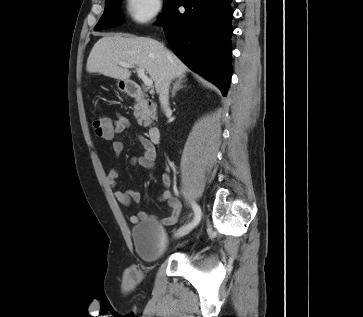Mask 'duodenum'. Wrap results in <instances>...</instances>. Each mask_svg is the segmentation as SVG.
Listing matches in <instances>:
<instances>
[{
	"instance_id": "410a0bca",
	"label": "duodenum",
	"mask_w": 363,
	"mask_h": 317,
	"mask_svg": "<svg viewBox=\"0 0 363 317\" xmlns=\"http://www.w3.org/2000/svg\"><path fill=\"white\" fill-rule=\"evenodd\" d=\"M127 92L130 97L137 99H144L146 97L145 91L136 83L128 82L127 84ZM149 138L150 140L158 144L161 140V130L157 126H150L149 130Z\"/></svg>"
}]
</instances>
